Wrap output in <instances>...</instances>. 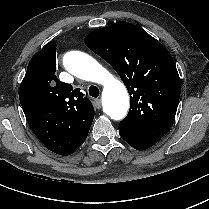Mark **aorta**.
I'll list each match as a JSON object with an SVG mask.
<instances>
[{
	"label": "aorta",
	"instance_id": "aorta-1",
	"mask_svg": "<svg viewBox=\"0 0 209 209\" xmlns=\"http://www.w3.org/2000/svg\"><path fill=\"white\" fill-rule=\"evenodd\" d=\"M65 68L73 75L103 85V109L113 120L123 119L129 109V95L124 84L90 55L70 51L64 55Z\"/></svg>",
	"mask_w": 209,
	"mask_h": 209
}]
</instances>
